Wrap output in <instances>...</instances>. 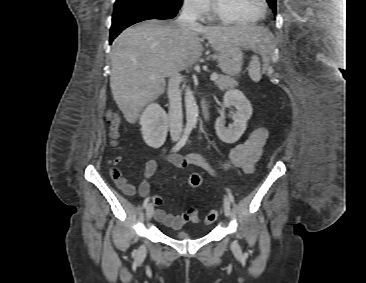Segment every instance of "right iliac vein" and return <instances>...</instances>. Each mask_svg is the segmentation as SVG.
<instances>
[{
	"mask_svg": "<svg viewBox=\"0 0 366 283\" xmlns=\"http://www.w3.org/2000/svg\"><path fill=\"white\" fill-rule=\"evenodd\" d=\"M178 136H174L173 137V140L174 141H177L178 140ZM153 212H154V208H153V205L152 204H149L147 207H146V218L148 220H150L153 216Z\"/></svg>",
	"mask_w": 366,
	"mask_h": 283,
	"instance_id": "right-iliac-vein-1",
	"label": "right iliac vein"
}]
</instances>
